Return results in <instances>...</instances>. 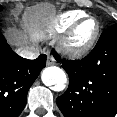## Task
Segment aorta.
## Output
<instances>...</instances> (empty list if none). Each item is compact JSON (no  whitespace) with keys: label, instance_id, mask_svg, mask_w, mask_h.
Masks as SVG:
<instances>
[{"label":"aorta","instance_id":"1","mask_svg":"<svg viewBox=\"0 0 117 117\" xmlns=\"http://www.w3.org/2000/svg\"><path fill=\"white\" fill-rule=\"evenodd\" d=\"M41 79L46 86H57L59 90L63 88L67 81L64 70L57 66L45 68L42 71Z\"/></svg>","mask_w":117,"mask_h":117}]
</instances>
